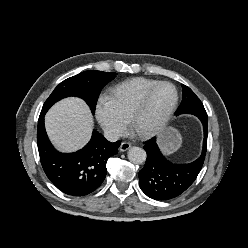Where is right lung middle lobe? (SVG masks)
I'll return each mask as SVG.
<instances>
[{
    "label": "right lung middle lobe",
    "instance_id": "1",
    "mask_svg": "<svg viewBox=\"0 0 248 248\" xmlns=\"http://www.w3.org/2000/svg\"><path fill=\"white\" fill-rule=\"evenodd\" d=\"M116 76L113 72L89 70L61 82L43 105L42 111L57 101L69 96L80 97L89 105L94 114L96 103L102 88Z\"/></svg>",
    "mask_w": 248,
    "mask_h": 248
}]
</instances>
